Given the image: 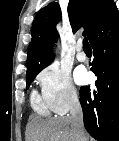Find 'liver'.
Segmentation results:
<instances>
[{"instance_id":"6515ba94","label":"liver","mask_w":119,"mask_h":141,"mask_svg":"<svg viewBox=\"0 0 119 141\" xmlns=\"http://www.w3.org/2000/svg\"><path fill=\"white\" fill-rule=\"evenodd\" d=\"M27 128L28 141H79L70 116L49 119L35 117ZM85 139H88L86 134Z\"/></svg>"}]
</instances>
